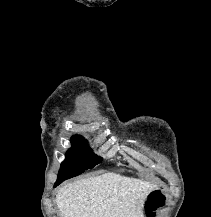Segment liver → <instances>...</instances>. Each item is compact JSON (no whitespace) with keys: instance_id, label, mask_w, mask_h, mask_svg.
<instances>
[{"instance_id":"6515ba94","label":"liver","mask_w":211,"mask_h":217,"mask_svg":"<svg viewBox=\"0 0 211 217\" xmlns=\"http://www.w3.org/2000/svg\"><path fill=\"white\" fill-rule=\"evenodd\" d=\"M155 185L115 173L77 180L62 187L56 204L62 217H143Z\"/></svg>"}]
</instances>
